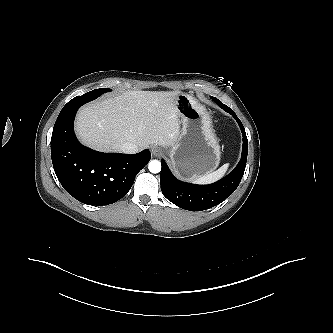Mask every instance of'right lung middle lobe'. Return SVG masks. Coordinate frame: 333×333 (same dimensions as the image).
I'll list each match as a JSON object with an SVG mask.
<instances>
[{"mask_svg": "<svg viewBox=\"0 0 333 333\" xmlns=\"http://www.w3.org/2000/svg\"><path fill=\"white\" fill-rule=\"evenodd\" d=\"M109 91H111V90L108 88H99V89L90 91L82 96H77V97L73 98L64 106V108H79L83 104H85L89 101H92V100L96 99L97 97H99L100 95H102L103 93L109 92Z\"/></svg>", "mask_w": 333, "mask_h": 333, "instance_id": "obj_1", "label": "right lung middle lobe"}]
</instances>
